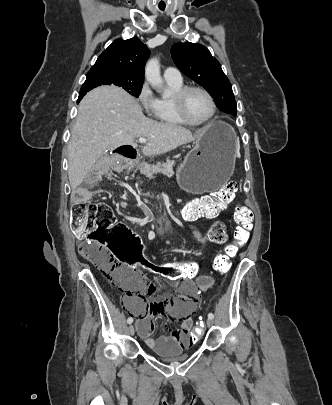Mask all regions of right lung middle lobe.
<instances>
[{
    "label": "right lung middle lobe",
    "instance_id": "1",
    "mask_svg": "<svg viewBox=\"0 0 332 405\" xmlns=\"http://www.w3.org/2000/svg\"><path fill=\"white\" fill-rule=\"evenodd\" d=\"M116 85L122 87L129 94L138 97L142 89L143 79L127 76L119 72L97 71L87 74L86 81L80 92L90 91L100 85Z\"/></svg>",
    "mask_w": 332,
    "mask_h": 405
}]
</instances>
